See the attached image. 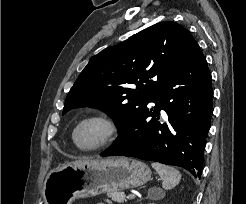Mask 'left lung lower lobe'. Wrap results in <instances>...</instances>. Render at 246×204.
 <instances>
[{
    "instance_id": "obj_1",
    "label": "left lung lower lobe",
    "mask_w": 246,
    "mask_h": 204,
    "mask_svg": "<svg viewBox=\"0 0 246 204\" xmlns=\"http://www.w3.org/2000/svg\"><path fill=\"white\" fill-rule=\"evenodd\" d=\"M212 97L211 74L197 45L101 156H131L175 165L200 179L213 113ZM151 102L155 106L149 110Z\"/></svg>"
}]
</instances>
